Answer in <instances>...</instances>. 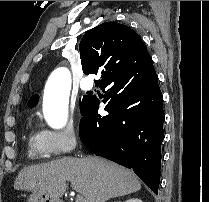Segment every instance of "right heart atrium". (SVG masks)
<instances>
[{
  "label": "right heart atrium",
  "mask_w": 209,
  "mask_h": 202,
  "mask_svg": "<svg viewBox=\"0 0 209 202\" xmlns=\"http://www.w3.org/2000/svg\"><path fill=\"white\" fill-rule=\"evenodd\" d=\"M39 135L42 146L54 156L70 153L77 146V129L73 123H68L59 130L43 129ZM72 165L77 171L82 170L77 163H72Z\"/></svg>",
  "instance_id": "right-heart-atrium-1"
}]
</instances>
